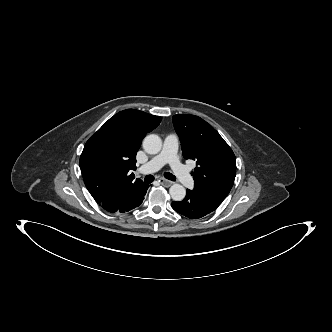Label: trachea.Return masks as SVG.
I'll return each mask as SVG.
<instances>
[{
  "instance_id": "trachea-1",
  "label": "trachea",
  "mask_w": 332,
  "mask_h": 332,
  "mask_svg": "<svg viewBox=\"0 0 332 332\" xmlns=\"http://www.w3.org/2000/svg\"><path fill=\"white\" fill-rule=\"evenodd\" d=\"M164 177H165L166 179H169V180H172V181H175V180H176V177H175L172 173H169V172L165 173V174H164ZM153 180H154V176H153V175H146V176L144 177V181H145L146 183H152Z\"/></svg>"
}]
</instances>
